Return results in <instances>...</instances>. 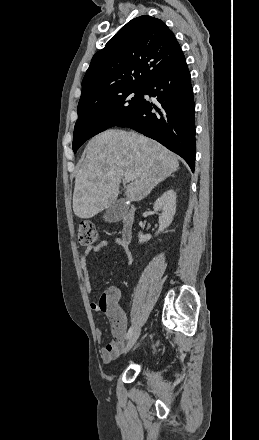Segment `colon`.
Wrapping results in <instances>:
<instances>
[{
    "label": "colon",
    "mask_w": 259,
    "mask_h": 440,
    "mask_svg": "<svg viewBox=\"0 0 259 440\" xmlns=\"http://www.w3.org/2000/svg\"><path fill=\"white\" fill-rule=\"evenodd\" d=\"M78 239L82 246L92 247L97 244L99 234L95 225L89 221L81 222L79 225Z\"/></svg>",
    "instance_id": "colon-1"
}]
</instances>
